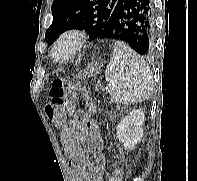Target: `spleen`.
<instances>
[{"instance_id": "spleen-1", "label": "spleen", "mask_w": 197, "mask_h": 181, "mask_svg": "<svg viewBox=\"0 0 197 181\" xmlns=\"http://www.w3.org/2000/svg\"><path fill=\"white\" fill-rule=\"evenodd\" d=\"M111 101L116 104L142 102L152 94L153 76L146 62L128 45L116 41L105 70Z\"/></svg>"}]
</instances>
